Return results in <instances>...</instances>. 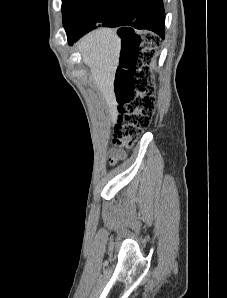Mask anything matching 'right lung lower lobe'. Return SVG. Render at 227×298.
Instances as JSON below:
<instances>
[{"label": "right lung lower lobe", "instance_id": "right-lung-lower-lobe-1", "mask_svg": "<svg viewBox=\"0 0 227 298\" xmlns=\"http://www.w3.org/2000/svg\"><path fill=\"white\" fill-rule=\"evenodd\" d=\"M165 12L162 0H107L76 32L67 34L69 45L98 26L119 27L122 39L120 65L124 66L126 40L134 29H146L164 38ZM119 73V69L117 74ZM116 74V75H117Z\"/></svg>", "mask_w": 227, "mask_h": 298}]
</instances>
